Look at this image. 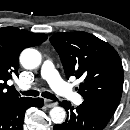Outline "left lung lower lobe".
I'll return each mask as SVG.
<instances>
[{
	"label": "left lung lower lobe",
	"mask_w": 130,
	"mask_h": 130,
	"mask_svg": "<svg viewBox=\"0 0 130 130\" xmlns=\"http://www.w3.org/2000/svg\"><path fill=\"white\" fill-rule=\"evenodd\" d=\"M59 104L67 111V119L55 125L53 130H102L115 112L101 103L87 99L76 108L67 101Z\"/></svg>",
	"instance_id": "0a47b994"
}]
</instances>
